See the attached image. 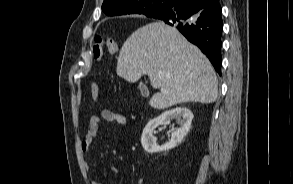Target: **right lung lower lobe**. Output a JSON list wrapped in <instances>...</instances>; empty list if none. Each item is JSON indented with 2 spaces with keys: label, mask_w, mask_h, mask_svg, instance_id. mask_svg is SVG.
<instances>
[{
  "label": "right lung lower lobe",
  "mask_w": 293,
  "mask_h": 184,
  "mask_svg": "<svg viewBox=\"0 0 293 184\" xmlns=\"http://www.w3.org/2000/svg\"><path fill=\"white\" fill-rule=\"evenodd\" d=\"M153 18L176 27L188 41L202 50L221 75L223 21L219 1L204 7L201 1L177 0Z\"/></svg>",
  "instance_id": "obj_1"
}]
</instances>
